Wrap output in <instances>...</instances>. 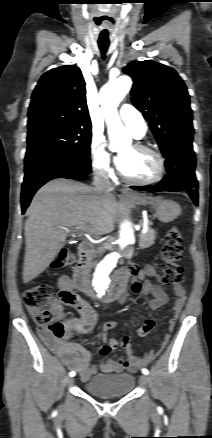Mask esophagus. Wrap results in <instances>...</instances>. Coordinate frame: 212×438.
<instances>
[{
    "label": "esophagus",
    "instance_id": "esophagus-1",
    "mask_svg": "<svg viewBox=\"0 0 212 438\" xmlns=\"http://www.w3.org/2000/svg\"><path fill=\"white\" fill-rule=\"evenodd\" d=\"M122 193H123L124 195H130V194H131L128 188H123V189H122Z\"/></svg>",
    "mask_w": 212,
    "mask_h": 438
}]
</instances>
